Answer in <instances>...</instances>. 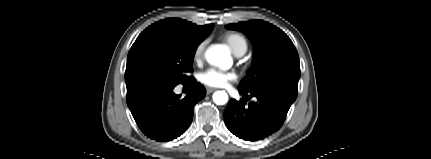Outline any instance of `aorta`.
<instances>
[{
	"label": "aorta",
	"instance_id": "762f6f07",
	"mask_svg": "<svg viewBox=\"0 0 431 159\" xmlns=\"http://www.w3.org/2000/svg\"><path fill=\"white\" fill-rule=\"evenodd\" d=\"M205 56L210 64L221 68H225L231 63L230 52L222 45H216L209 48L206 51ZM213 101L217 105H224L228 101V95L225 91H216L213 94Z\"/></svg>",
	"mask_w": 431,
	"mask_h": 159
}]
</instances>
